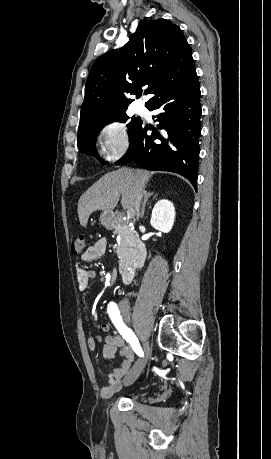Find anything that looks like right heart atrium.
Masks as SVG:
<instances>
[{"label":"right heart atrium","mask_w":271,"mask_h":459,"mask_svg":"<svg viewBox=\"0 0 271 459\" xmlns=\"http://www.w3.org/2000/svg\"><path fill=\"white\" fill-rule=\"evenodd\" d=\"M95 143L101 158L107 162H114L120 159L129 148L128 130L121 122H106L97 129Z\"/></svg>","instance_id":"obj_1"}]
</instances>
